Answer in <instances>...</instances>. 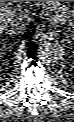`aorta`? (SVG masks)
I'll return each instance as SVG.
<instances>
[{"label": "aorta", "mask_w": 74, "mask_h": 122, "mask_svg": "<svg viewBox=\"0 0 74 122\" xmlns=\"http://www.w3.org/2000/svg\"><path fill=\"white\" fill-rule=\"evenodd\" d=\"M39 59L46 65L55 66L63 59V52L55 43L42 42L38 49Z\"/></svg>", "instance_id": "aorta-1"}]
</instances>
